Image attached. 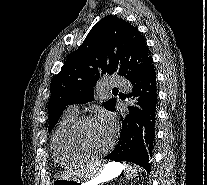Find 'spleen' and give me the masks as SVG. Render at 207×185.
I'll list each match as a JSON object with an SVG mask.
<instances>
[{
    "instance_id": "spleen-1",
    "label": "spleen",
    "mask_w": 207,
    "mask_h": 185,
    "mask_svg": "<svg viewBox=\"0 0 207 185\" xmlns=\"http://www.w3.org/2000/svg\"><path fill=\"white\" fill-rule=\"evenodd\" d=\"M126 171H135L129 172L128 179H133V177H146V172L142 171V166H137V162H126Z\"/></svg>"
}]
</instances>
